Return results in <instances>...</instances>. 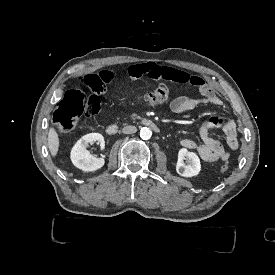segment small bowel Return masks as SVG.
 I'll use <instances>...</instances> for the list:
<instances>
[{"label": "small bowel", "instance_id": "1", "mask_svg": "<svg viewBox=\"0 0 275 275\" xmlns=\"http://www.w3.org/2000/svg\"><path fill=\"white\" fill-rule=\"evenodd\" d=\"M130 75L134 78L148 77L152 79H166L178 83H190L184 71L173 67H161L153 63L132 66ZM99 77L105 85H112L116 79L112 70L108 68L101 70ZM193 83L195 85H192L198 88L200 96L176 97L170 103V109L173 113L182 114L201 105L226 107L223 100L215 94L211 84L204 83L198 78H195ZM217 128H220L224 134V145L211 136V132ZM199 134L201 142L185 138L180 143L184 148L196 151L205 162L226 161L230 157L231 152L235 151L239 146L237 127L233 120L226 121L220 126L214 121L206 122L200 127Z\"/></svg>", "mask_w": 275, "mask_h": 275}]
</instances>
